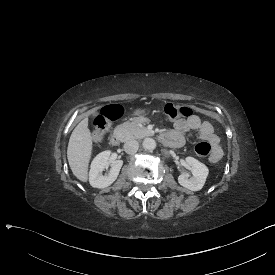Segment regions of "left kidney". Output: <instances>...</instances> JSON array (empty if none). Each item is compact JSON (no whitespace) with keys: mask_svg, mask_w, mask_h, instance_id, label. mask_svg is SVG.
Segmentation results:
<instances>
[{"mask_svg":"<svg viewBox=\"0 0 275 275\" xmlns=\"http://www.w3.org/2000/svg\"><path fill=\"white\" fill-rule=\"evenodd\" d=\"M185 161L192 167L193 177L188 179L186 174H181L178 177L179 184L192 191L202 189L209 173L208 168L193 157H186Z\"/></svg>","mask_w":275,"mask_h":275,"instance_id":"1","label":"left kidney"}]
</instances>
